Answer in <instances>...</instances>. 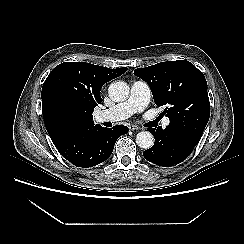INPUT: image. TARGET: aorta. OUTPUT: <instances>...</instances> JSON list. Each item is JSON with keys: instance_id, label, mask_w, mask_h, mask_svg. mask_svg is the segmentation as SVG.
Wrapping results in <instances>:
<instances>
[{"instance_id": "obj_1", "label": "aorta", "mask_w": 244, "mask_h": 244, "mask_svg": "<svg viewBox=\"0 0 244 244\" xmlns=\"http://www.w3.org/2000/svg\"><path fill=\"white\" fill-rule=\"evenodd\" d=\"M130 93V88L127 83L117 81L111 83L108 88L109 97L115 102L125 101ZM136 143L140 148L149 149L154 144V137L149 131L139 132L136 136Z\"/></svg>"}]
</instances>
